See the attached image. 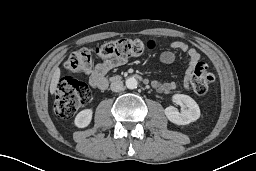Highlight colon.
I'll list each match as a JSON object with an SVG mask.
<instances>
[{"label":"colon","mask_w":256,"mask_h":171,"mask_svg":"<svg viewBox=\"0 0 256 171\" xmlns=\"http://www.w3.org/2000/svg\"><path fill=\"white\" fill-rule=\"evenodd\" d=\"M154 47L152 40L123 38L104 43L93 49L82 48L74 51L64 62V69L68 73H86L92 66L93 55L103 59H126L143 54ZM214 81V75L208 66L198 62L190 75L193 91L198 95H205ZM90 99L88 86L73 76L63 77L56 89L55 113L63 119L70 118L82 105Z\"/></svg>","instance_id":"5ec220e1"}]
</instances>
